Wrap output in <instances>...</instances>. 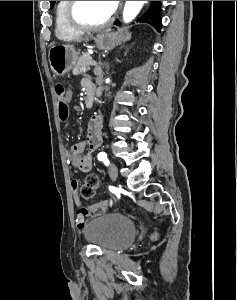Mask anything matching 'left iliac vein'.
Instances as JSON below:
<instances>
[{"instance_id": "obj_1", "label": "left iliac vein", "mask_w": 237, "mask_h": 300, "mask_svg": "<svg viewBox=\"0 0 237 300\" xmlns=\"http://www.w3.org/2000/svg\"><path fill=\"white\" fill-rule=\"evenodd\" d=\"M108 172L112 179H116L118 177V169L114 163L109 164Z\"/></svg>"}]
</instances>
